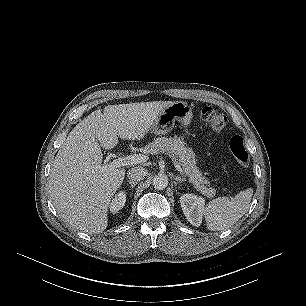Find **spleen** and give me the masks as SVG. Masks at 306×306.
<instances>
[{"label": "spleen", "mask_w": 306, "mask_h": 306, "mask_svg": "<svg viewBox=\"0 0 306 306\" xmlns=\"http://www.w3.org/2000/svg\"><path fill=\"white\" fill-rule=\"evenodd\" d=\"M253 189L241 191L233 198L218 197L203 208L207 229L211 231L225 230L233 226L248 210Z\"/></svg>", "instance_id": "3e777b00"}]
</instances>
